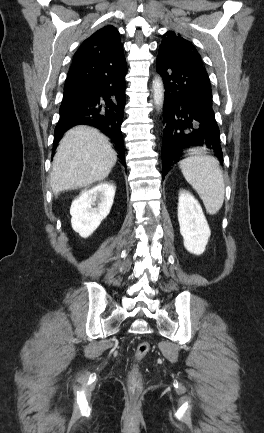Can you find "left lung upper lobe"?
I'll return each instance as SVG.
<instances>
[{
    "label": "left lung upper lobe",
    "mask_w": 264,
    "mask_h": 433,
    "mask_svg": "<svg viewBox=\"0 0 264 433\" xmlns=\"http://www.w3.org/2000/svg\"><path fill=\"white\" fill-rule=\"evenodd\" d=\"M159 55L167 56L181 64L203 68L201 57L194 45L173 31L164 34Z\"/></svg>",
    "instance_id": "5c2ea615"
}]
</instances>
